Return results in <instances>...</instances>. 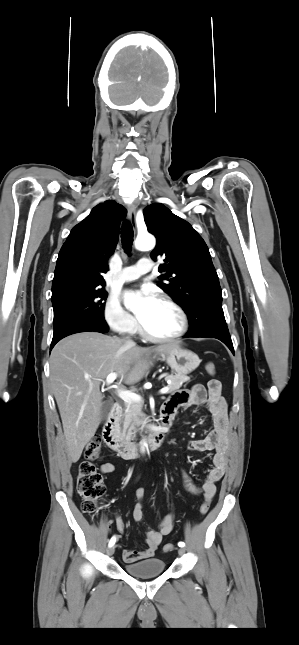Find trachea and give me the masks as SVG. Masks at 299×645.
<instances>
[{"instance_id":"1","label":"trachea","mask_w":299,"mask_h":645,"mask_svg":"<svg viewBox=\"0 0 299 645\" xmlns=\"http://www.w3.org/2000/svg\"><path fill=\"white\" fill-rule=\"evenodd\" d=\"M134 232L131 224L128 221L123 222L121 228V242L124 251L129 254L132 249Z\"/></svg>"}]
</instances>
